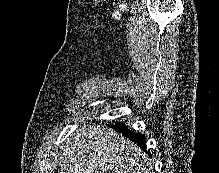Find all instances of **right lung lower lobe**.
<instances>
[{
	"mask_svg": "<svg viewBox=\"0 0 219 173\" xmlns=\"http://www.w3.org/2000/svg\"><path fill=\"white\" fill-rule=\"evenodd\" d=\"M111 127H113L115 130L122 132V134L126 137H128L130 140H132L133 142L137 143L139 147L141 148H145V141L146 138L144 135L139 134V133H135L131 130H129L124 123H116L114 126L111 125ZM149 153V152H148Z\"/></svg>",
	"mask_w": 219,
	"mask_h": 173,
	"instance_id": "right-lung-lower-lobe-1",
	"label": "right lung lower lobe"
}]
</instances>
